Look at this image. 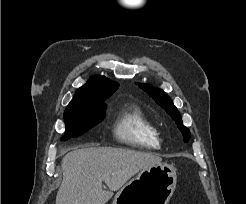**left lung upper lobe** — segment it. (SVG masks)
Masks as SVG:
<instances>
[{
    "label": "left lung upper lobe",
    "mask_w": 246,
    "mask_h": 204,
    "mask_svg": "<svg viewBox=\"0 0 246 204\" xmlns=\"http://www.w3.org/2000/svg\"><path fill=\"white\" fill-rule=\"evenodd\" d=\"M138 86L146 91L158 105L165 109V111L176 122L179 130L182 132L184 142H188L190 138V131L183 125L180 113L178 112L170 97H168V95L162 90L155 88L150 84H138Z\"/></svg>",
    "instance_id": "obj_1"
}]
</instances>
